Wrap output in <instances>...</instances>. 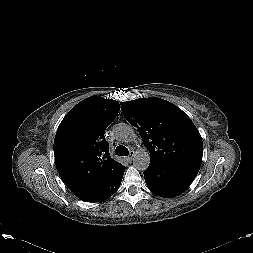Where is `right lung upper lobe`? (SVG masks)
Returning a JSON list of instances; mask_svg holds the SVG:
<instances>
[{"label":"right lung upper lobe","mask_w":253,"mask_h":253,"mask_svg":"<svg viewBox=\"0 0 253 253\" xmlns=\"http://www.w3.org/2000/svg\"><path fill=\"white\" fill-rule=\"evenodd\" d=\"M119 111L116 100L91 96L73 107L57 129L54 156L58 173L82 200L109 185L125 170L110 157L104 136Z\"/></svg>","instance_id":"right-lung-upper-lobe-1"}]
</instances>
